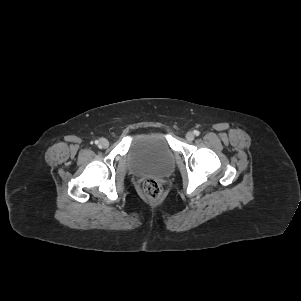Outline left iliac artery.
<instances>
[{"label":"left iliac artery","instance_id":"44dca946","mask_svg":"<svg viewBox=\"0 0 301 301\" xmlns=\"http://www.w3.org/2000/svg\"><path fill=\"white\" fill-rule=\"evenodd\" d=\"M194 134H195L196 136H198V135L200 134V132L197 131V130H195V131H194Z\"/></svg>","mask_w":301,"mask_h":301}]
</instances>
